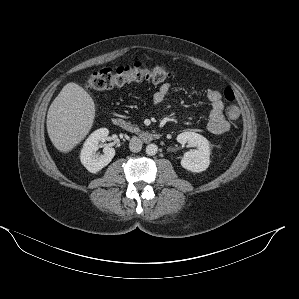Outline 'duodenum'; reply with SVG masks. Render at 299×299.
Returning a JSON list of instances; mask_svg holds the SVG:
<instances>
[{"label":"duodenum","instance_id":"410a0bca","mask_svg":"<svg viewBox=\"0 0 299 299\" xmlns=\"http://www.w3.org/2000/svg\"><path fill=\"white\" fill-rule=\"evenodd\" d=\"M112 123H113V125H115L118 128L133 132L139 138H141L142 140H144L146 142L156 141L161 138V135L158 133H151L148 131L137 130L134 126H132L130 123H128L126 120H124L120 117L113 118Z\"/></svg>","mask_w":299,"mask_h":299}]
</instances>
